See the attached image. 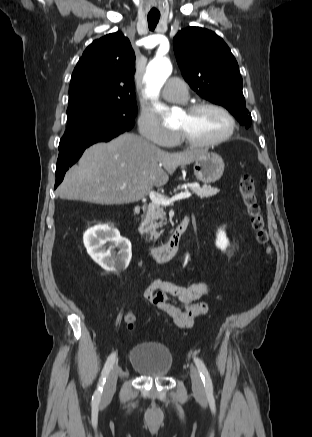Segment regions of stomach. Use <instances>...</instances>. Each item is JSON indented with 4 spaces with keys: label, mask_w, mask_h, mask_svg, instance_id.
Listing matches in <instances>:
<instances>
[{
    "label": "stomach",
    "mask_w": 312,
    "mask_h": 437,
    "mask_svg": "<svg viewBox=\"0 0 312 437\" xmlns=\"http://www.w3.org/2000/svg\"><path fill=\"white\" fill-rule=\"evenodd\" d=\"M193 170L199 181L206 184L213 183L223 175L224 162L217 153L206 151L195 159Z\"/></svg>",
    "instance_id": "0dacf381"
}]
</instances>
